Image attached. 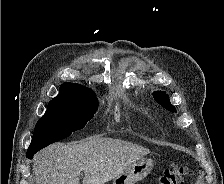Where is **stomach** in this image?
<instances>
[{
  "label": "stomach",
  "mask_w": 224,
  "mask_h": 184,
  "mask_svg": "<svg viewBox=\"0 0 224 184\" xmlns=\"http://www.w3.org/2000/svg\"><path fill=\"white\" fill-rule=\"evenodd\" d=\"M153 162L149 159H140L127 167L118 175L112 184H135L143 180L151 172Z\"/></svg>",
  "instance_id": "obj_1"
}]
</instances>
